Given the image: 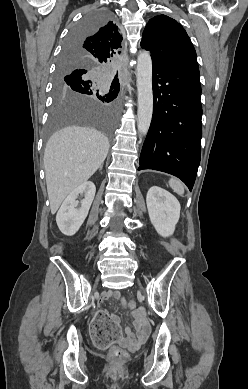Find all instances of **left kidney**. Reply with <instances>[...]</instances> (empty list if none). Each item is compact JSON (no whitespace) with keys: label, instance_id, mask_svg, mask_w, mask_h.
<instances>
[{"label":"left kidney","instance_id":"1","mask_svg":"<svg viewBox=\"0 0 248 389\" xmlns=\"http://www.w3.org/2000/svg\"><path fill=\"white\" fill-rule=\"evenodd\" d=\"M146 203L157 233L163 237L172 235L180 218V203L176 197L161 187L152 186L147 193Z\"/></svg>","mask_w":248,"mask_h":389}]
</instances>
